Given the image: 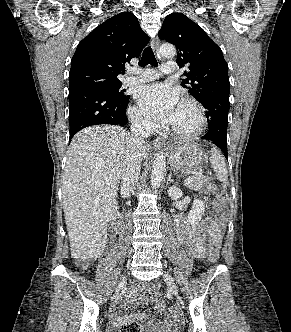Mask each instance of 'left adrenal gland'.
<instances>
[{"label": "left adrenal gland", "instance_id": "a2214340", "mask_svg": "<svg viewBox=\"0 0 291 332\" xmlns=\"http://www.w3.org/2000/svg\"><path fill=\"white\" fill-rule=\"evenodd\" d=\"M168 182H173V179H172V174L170 173L168 178H167V184Z\"/></svg>", "mask_w": 291, "mask_h": 332}]
</instances>
